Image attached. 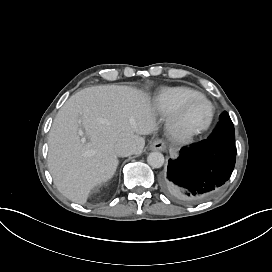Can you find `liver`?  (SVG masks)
Returning a JSON list of instances; mask_svg holds the SVG:
<instances>
[{
	"label": "liver",
	"instance_id": "1",
	"mask_svg": "<svg viewBox=\"0 0 272 272\" xmlns=\"http://www.w3.org/2000/svg\"><path fill=\"white\" fill-rule=\"evenodd\" d=\"M85 130L88 142L78 134ZM157 128L147 94L130 86L101 85L72 95L58 111L49 132L48 168L58 191L84 204L90 191L117 169L115 144L131 139L142 152Z\"/></svg>",
	"mask_w": 272,
	"mask_h": 272
}]
</instances>
